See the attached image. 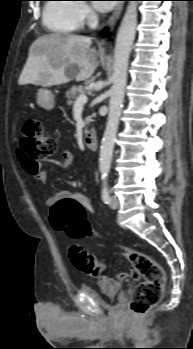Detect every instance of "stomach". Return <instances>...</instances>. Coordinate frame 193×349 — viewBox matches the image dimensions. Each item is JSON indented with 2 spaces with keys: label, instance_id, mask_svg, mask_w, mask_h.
<instances>
[{
  "label": "stomach",
  "instance_id": "stomach-1",
  "mask_svg": "<svg viewBox=\"0 0 193 349\" xmlns=\"http://www.w3.org/2000/svg\"><path fill=\"white\" fill-rule=\"evenodd\" d=\"M37 102L42 108L46 110H52L55 106L54 95L50 90L46 88H40L38 90Z\"/></svg>",
  "mask_w": 193,
  "mask_h": 349
}]
</instances>
